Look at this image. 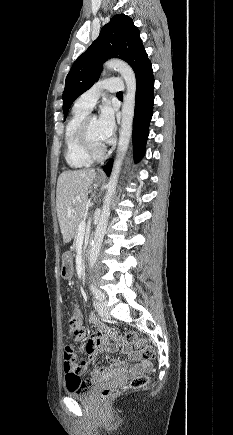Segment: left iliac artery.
<instances>
[{"instance_id":"1","label":"left iliac artery","mask_w":233,"mask_h":435,"mask_svg":"<svg viewBox=\"0 0 233 435\" xmlns=\"http://www.w3.org/2000/svg\"><path fill=\"white\" fill-rule=\"evenodd\" d=\"M90 289L93 293V295L95 296L96 299L102 300L103 299V294L101 293V291H99L96 286L92 283L90 285Z\"/></svg>"}]
</instances>
